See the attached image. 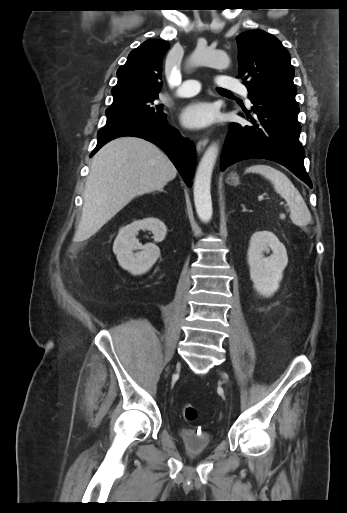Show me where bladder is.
<instances>
[{"mask_svg":"<svg viewBox=\"0 0 347 513\" xmlns=\"http://www.w3.org/2000/svg\"><path fill=\"white\" fill-rule=\"evenodd\" d=\"M184 449L187 453L202 455L214 447V440L210 433L195 428H182L179 431Z\"/></svg>","mask_w":347,"mask_h":513,"instance_id":"obj_1","label":"bladder"}]
</instances>
